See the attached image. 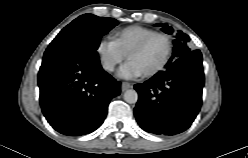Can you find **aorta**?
Instances as JSON below:
<instances>
[{
    "mask_svg": "<svg viewBox=\"0 0 248 158\" xmlns=\"http://www.w3.org/2000/svg\"><path fill=\"white\" fill-rule=\"evenodd\" d=\"M124 100L129 104H134L138 100V93L134 89H129L124 93Z\"/></svg>",
    "mask_w": 248,
    "mask_h": 158,
    "instance_id": "aorta-1",
    "label": "aorta"
}]
</instances>
